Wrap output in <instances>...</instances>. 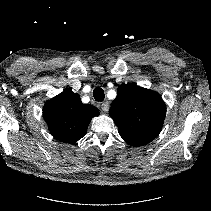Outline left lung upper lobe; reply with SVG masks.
Returning a JSON list of instances; mask_svg holds the SVG:
<instances>
[{"label": "left lung upper lobe", "mask_w": 211, "mask_h": 211, "mask_svg": "<svg viewBox=\"0 0 211 211\" xmlns=\"http://www.w3.org/2000/svg\"><path fill=\"white\" fill-rule=\"evenodd\" d=\"M109 115L126 143L142 146L160 133L166 105L155 91L123 84L117 88V97L111 103Z\"/></svg>", "instance_id": "5c2ea615"}]
</instances>
